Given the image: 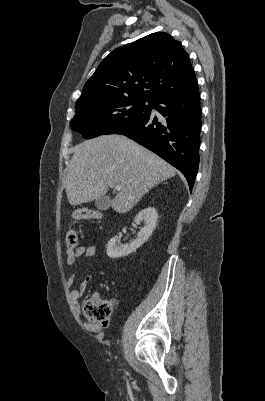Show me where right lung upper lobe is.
<instances>
[{
  "label": "right lung upper lobe",
  "mask_w": 265,
  "mask_h": 401,
  "mask_svg": "<svg viewBox=\"0 0 265 401\" xmlns=\"http://www.w3.org/2000/svg\"><path fill=\"white\" fill-rule=\"evenodd\" d=\"M196 82L181 43L165 32H157L111 52L85 83L76 106L103 97L157 101Z\"/></svg>",
  "instance_id": "right-lung-upper-lobe-1"
}]
</instances>
